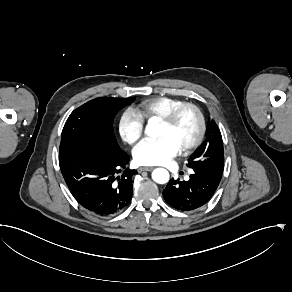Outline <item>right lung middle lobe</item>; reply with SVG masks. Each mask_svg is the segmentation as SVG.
Listing matches in <instances>:
<instances>
[{
    "mask_svg": "<svg viewBox=\"0 0 292 292\" xmlns=\"http://www.w3.org/2000/svg\"><path fill=\"white\" fill-rule=\"evenodd\" d=\"M131 98L93 99L75 109L68 117L61 135L60 150L86 148L115 154L119 147L113 131V119Z\"/></svg>",
    "mask_w": 292,
    "mask_h": 292,
    "instance_id": "1",
    "label": "right lung middle lobe"
}]
</instances>
